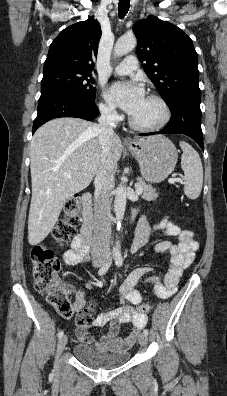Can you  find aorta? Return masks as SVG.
<instances>
[{"instance_id":"762f6f07","label":"aorta","mask_w":227,"mask_h":396,"mask_svg":"<svg viewBox=\"0 0 227 396\" xmlns=\"http://www.w3.org/2000/svg\"><path fill=\"white\" fill-rule=\"evenodd\" d=\"M136 38L133 34H125L121 36L114 46V55L121 57L132 51L136 46ZM126 187L123 182L119 184L115 191L114 211L117 220V227L120 229L121 220L123 219L126 208ZM117 251L120 249V243L116 242Z\"/></svg>"}]
</instances>
